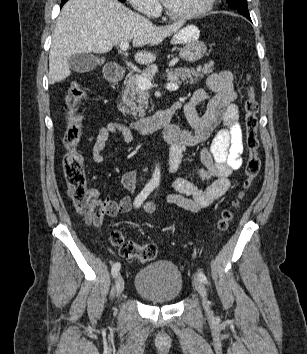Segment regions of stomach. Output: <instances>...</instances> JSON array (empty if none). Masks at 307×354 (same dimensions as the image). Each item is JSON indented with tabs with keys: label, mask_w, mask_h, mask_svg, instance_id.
I'll use <instances>...</instances> for the list:
<instances>
[{
	"label": "stomach",
	"mask_w": 307,
	"mask_h": 354,
	"mask_svg": "<svg viewBox=\"0 0 307 354\" xmlns=\"http://www.w3.org/2000/svg\"><path fill=\"white\" fill-rule=\"evenodd\" d=\"M199 29L195 25H188L177 32L173 39V44H182L179 56L188 62H196L207 53V46L198 40Z\"/></svg>",
	"instance_id": "1"
}]
</instances>
